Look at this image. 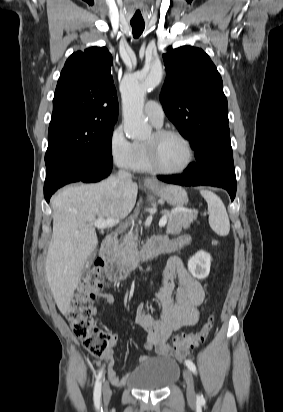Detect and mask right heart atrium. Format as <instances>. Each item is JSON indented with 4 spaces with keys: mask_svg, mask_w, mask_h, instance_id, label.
<instances>
[{
    "mask_svg": "<svg viewBox=\"0 0 283 412\" xmlns=\"http://www.w3.org/2000/svg\"><path fill=\"white\" fill-rule=\"evenodd\" d=\"M108 148L112 161L118 167L130 168L134 158V143L126 137L121 125L111 131Z\"/></svg>",
    "mask_w": 283,
    "mask_h": 412,
    "instance_id": "1",
    "label": "right heart atrium"
}]
</instances>
